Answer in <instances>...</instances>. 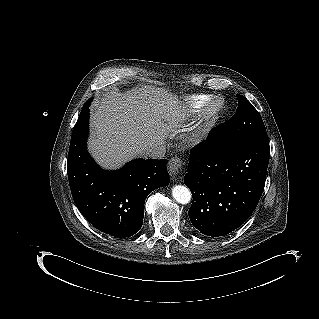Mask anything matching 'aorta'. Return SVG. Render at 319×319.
Returning a JSON list of instances; mask_svg holds the SVG:
<instances>
[{"instance_id":"aorta-1","label":"aorta","mask_w":319,"mask_h":319,"mask_svg":"<svg viewBox=\"0 0 319 319\" xmlns=\"http://www.w3.org/2000/svg\"><path fill=\"white\" fill-rule=\"evenodd\" d=\"M172 196L180 204L189 203L192 197L190 190L183 185H175L172 188Z\"/></svg>"}]
</instances>
